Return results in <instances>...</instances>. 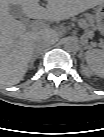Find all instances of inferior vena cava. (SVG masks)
I'll list each match as a JSON object with an SVG mask.
<instances>
[{
	"instance_id": "inferior-vena-cava-1",
	"label": "inferior vena cava",
	"mask_w": 104,
	"mask_h": 137,
	"mask_svg": "<svg viewBox=\"0 0 104 137\" xmlns=\"http://www.w3.org/2000/svg\"><path fill=\"white\" fill-rule=\"evenodd\" d=\"M47 46H48V43H46V42H42V43L38 44L35 47V56H37L38 54L43 53Z\"/></svg>"
}]
</instances>
